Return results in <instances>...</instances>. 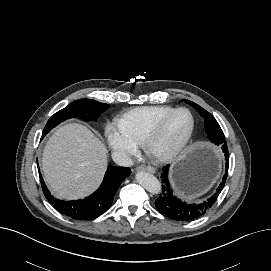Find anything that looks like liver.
I'll use <instances>...</instances> for the list:
<instances>
[{"label": "liver", "mask_w": 271, "mask_h": 271, "mask_svg": "<svg viewBox=\"0 0 271 271\" xmlns=\"http://www.w3.org/2000/svg\"><path fill=\"white\" fill-rule=\"evenodd\" d=\"M106 168L105 145L77 123L57 129L44 148L45 180L60 199H78L92 193L100 185Z\"/></svg>", "instance_id": "liver-1"}]
</instances>
